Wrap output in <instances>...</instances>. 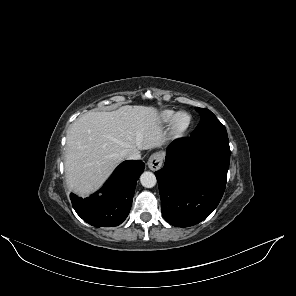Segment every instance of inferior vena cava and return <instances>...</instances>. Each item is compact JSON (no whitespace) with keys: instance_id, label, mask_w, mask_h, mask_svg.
<instances>
[{"instance_id":"1","label":"inferior vena cava","mask_w":296,"mask_h":296,"mask_svg":"<svg viewBox=\"0 0 296 296\" xmlns=\"http://www.w3.org/2000/svg\"><path fill=\"white\" fill-rule=\"evenodd\" d=\"M121 155L130 160H139L141 158L140 152L138 150H124L122 151Z\"/></svg>"}]
</instances>
